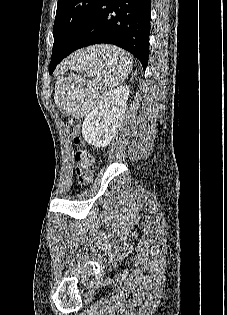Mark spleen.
<instances>
[{
	"label": "spleen",
	"instance_id": "obj_1",
	"mask_svg": "<svg viewBox=\"0 0 227 315\" xmlns=\"http://www.w3.org/2000/svg\"><path fill=\"white\" fill-rule=\"evenodd\" d=\"M132 62L129 55L114 46L100 45L79 50L70 55L63 63L61 73L68 69L84 71L95 79L87 83L74 74L62 78L57 83L55 102L59 109L68 115L87 116L105 96L106 88L121 84L131 71Z\"/></svg>",
	"mask_w": 227,
	"mask_h": 315
}]
</instances>
